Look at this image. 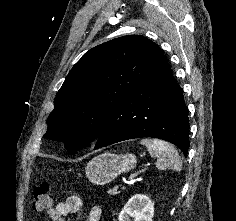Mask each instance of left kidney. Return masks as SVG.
Here are the masks:
<instances>
[{
	"instance_id": "5707ae66",
	"label": "left kidney",
	"mask_w": 236,
	"mask_h": 221,
	"mask_svg": "<svg viewBox=\"0 0 236 221\" xmlns=\"http://www.w3.org/2000/svg\"><path fill=\"white\" fill-rule=\"evenodd\" d=\"M154 203L143 194H135L120 212L119 221H152ZM132 218V220H131Z\"/></svg>"
}]
</instances>
